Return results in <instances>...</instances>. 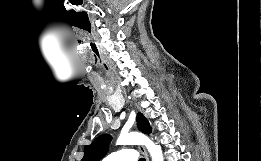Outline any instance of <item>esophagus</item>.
<instances>
[{"instance_id":"34e87169","label":"esophagus","mask_w":261,"mask_h":161,"mask_svg":"<svg viewBox=\"0 0 261 161\" xmlns=\"http://www.w3.org/2000/svg\"><path fill=\"white\" fill-rule=\"evenodd\" d=\"M139 150L143 153V155H144L146 161H149V156H148V153H147V151L145 150V148H144L143 146H140V147H139Z\"/></svg>"}]
</instances>
